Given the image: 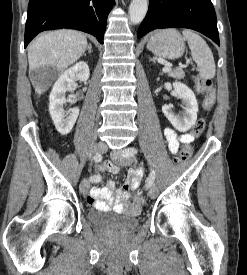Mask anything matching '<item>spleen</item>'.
<instances>
[{
  "label": "spleen",
  "mask_w": 247,
  "mask_h": 275,
  "mask_svg": "<svg viewBox=\"0 0 247 275\" xmlns=\"http://www.w3.org/2000/svg\"><path fill=\"white\" fill-rule=\"evenodd\" d=\"M188 42L193 60L196 62L202 79H212L215 76V61L213 53L206 41L191 30L182 31Z\"/></svg>",
  "instance_id": "1"
}]
</instances>
